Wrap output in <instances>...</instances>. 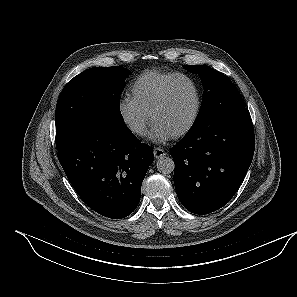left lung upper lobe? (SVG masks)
<instances>
[{
  "label": "left lung upper lobe",
  "instance_id": "obj_1",
  "mask_svg": "<svg viewBox=\"0 0 297 297\" xmlns=\"http://www.w3.org/2000/svg\"><path fill=\"white\" fill-rule=\"evenodd\" d=\"M183 68L197 74L204 88L202 107L190 129H197L229 111L245 107L238 89L224 74L204 65H183Z\"/></svg>",
  "mask_w": 297,
  "mask_h": 297
}]
</instances>
